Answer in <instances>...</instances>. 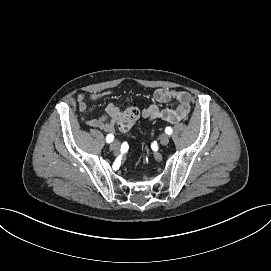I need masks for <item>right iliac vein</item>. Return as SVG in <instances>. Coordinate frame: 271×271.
Listing matches in <instances>:
<instances>
[{"label":"right iliac vein","mask_w":271,"mask_h":271,"mask_svg":"<svg viewBox=\"0 0 271 271\" xmlns=\"http://www.w3.org/2000/svg\"><path fill=\"white\" fill-rule=\"evenodd\" d=\"M119 147H120V144L118 141H113L112 144L110 145V149L112 151H118Z\"/></svg>","instance_id":"right-iliac-vein-1"}]
</instances>
